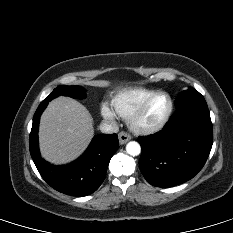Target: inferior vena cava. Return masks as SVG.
<instances>
[{
	"label": "inferior vena cava",
	"instance_id": "inferior-vena-cava-1",
	"mask_svg": "<svg viewBox=\"0 0 233 233\" xmlns=\"http://www.w3.org/2000/svg\"><path fill=\"white\" fill-rule=\"evenodd\" d=\"M99 128L102 133H117L119 131L118 125L109 121L101 122Z\"/></svg>",
	"mask_w": 233,
	"mask_h": 233
}]
</instances>
